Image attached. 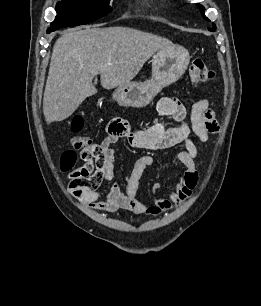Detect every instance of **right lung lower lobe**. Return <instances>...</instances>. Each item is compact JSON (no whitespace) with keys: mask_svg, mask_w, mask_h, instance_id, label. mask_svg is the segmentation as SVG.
Returning <instances> with one entry per match:
<instances>
[{"mask_svg":"<svg viewBox=\"0 0 261 306\" xmlns=\"http://www.w3.org/2000/svg\"><path fill=\"white\" fill-rule=\"evenodd\" d=\"M57 29H59V28L49 27L48 30H47V33H51V32H53V31H55Z\"/></svg>","mask_w":261,"mask_h":306,"instance_id":"1","label":"right lung lower lobe"}]
</instances>
